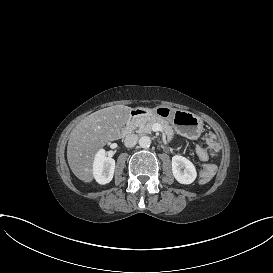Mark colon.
<instances>
[{
	"label": "colon",
	"mask_w": 273,
	"mask_h": 273,
	"mask_svg": "<svg viewBox=\"0 0 273 273\" xmlns=\"http://www.w3.org/2000/svg\"><path fill=\"white\" fill-rule=\"evenodd\" d=\"M216 167L214 164H207L202 171V178L204 181L210 180L215 174Z\"/></svg>",
	"instance_id": "1"
}]
</instances>
